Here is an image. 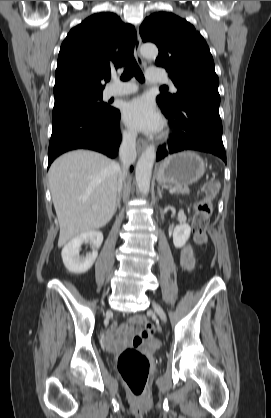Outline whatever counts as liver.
<instances>
[{
	"label": "liver",
	"instance_id": "liver-1",
	"mask_svg": "<svg viewBox=\"0 0 271 418\" xmlns=\"http://www.w3.org/2000/svg\"><path fill=\"white\" fill-rule=\"evenodd\" d=\"M119 171L118 163L89 150L66 153L52 163L48 178L60 227L59 247L112 219Z\"/></svg>",
	"mask_w": 271,
	"mask_h": 418
}]
</instances>
